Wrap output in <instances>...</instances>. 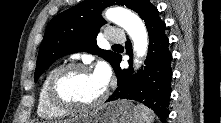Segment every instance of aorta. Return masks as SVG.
Masks as SVG:
<instances>
[{"mask_svg":"<svg viewBox=\"0 0 221 123\" xmlns=\"http://www.w3.org/2000/svg\"><path fill=\"white\" fill-rule=\"evenodd\" d=\"M105 17L108 21L113 22L126 30L133 41L135 66L139 67V58L146 56L148 49V35L142 20L138 15L121 7L108 9L105 13Z\"/></svg>","mask_w":221,"mask_h":123,"instance_id":"obj_1","label":"aorta"}]
</instances>
